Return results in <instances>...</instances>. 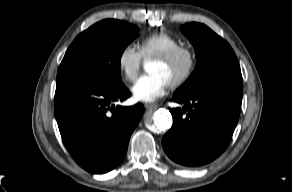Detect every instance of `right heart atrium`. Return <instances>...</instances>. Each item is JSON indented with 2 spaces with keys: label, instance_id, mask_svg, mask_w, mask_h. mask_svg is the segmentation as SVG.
<instances>
[{
  "label": "right heart atrium",
  "instance_id": "obj_1",
  "mask_svg": "<svg viewBox=\"0 0 292 192\" xmlns=\"http://www.w3.org/2000/svg\"><path fill=\"white\" fill-rule=\"evenodd\" d=\"M141 63L142 56L138 49L131 44L122 47L117 57V65L126 80H135Z\"/></svg>",
  "mask_w": 292,
  "mask_h": 192
}]
</instances>
